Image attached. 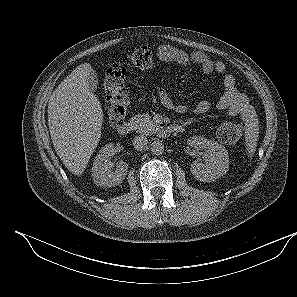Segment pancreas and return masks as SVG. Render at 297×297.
<instances>
[{
    "mask_svg": "<svg viewBox=\"0 0 297 297\" xmlns=\"http://www.w3.org/2000/svg\"><path fill=\"white\" fill-rule=\"evenodd\" d=\"M131 122L135 125L137 131L142 134L154 133L159 128L149 114H137L131 118Z\"/></svg>",
    "mask_w": 297,
    "mask_h": 297,
    "instance_id": "cf45deb5",
    "label": "pancreas"
}]
</instances>
